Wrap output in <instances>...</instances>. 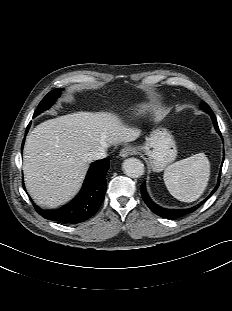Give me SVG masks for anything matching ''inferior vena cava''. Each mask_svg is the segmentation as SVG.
<instances>
[{
	"label": "inferior vena cava",
	"instance_id": "obj_1",
	"mask_svg": "<svg viewBox=\"0 0 232 311\" xmlns=\"http://www.w3.org/2000/svg\"><path fill=\"white\" fill-rule=\"evenodd\" d=\"M107 156L106 149L104 147H100L89 154L88 160L89 162L93 160L103 159Z\"/></svg>",
	"mask_w": 232,
	"mask_h": 311
}]
</instances>
